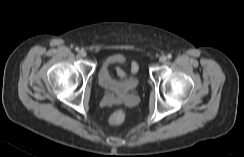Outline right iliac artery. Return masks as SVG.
Here are the masks:
<instances>
[{
	"label": "right iliac artery",
	"mask_w": 244,
	"mask_h": 157,
	"mask_svg": "<svg viewBox=\"0 0 244 157\" xmlns=\"http://www.w3.org/2000/svg\"><path fill=\"white\" fill-rule=\"evenodd\" d=\"M75 50H76V51H79V48L76 47Z\"/></svg>",
	"instance_id": "82829eb1"
}]
</instances>
